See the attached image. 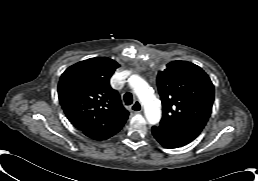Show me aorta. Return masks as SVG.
<instances>
[{
	"mask_svg": "<svg viewBox=\"0 0 258 181\" xmlns=\"http://www.w3.org/2000/svg\"><path fill=\"white\" fill-rule=\"evenodd\" d=\"M129 84L144 106L147 121L151 125L157 124L161 119V109L153 90L137 75L130 77Z\"/></svg>",
	"mask_w": 258,
	"mask_h": 181,
	"instance_id": "obj_1",
	"label": "aorta"
}]
</instances>
